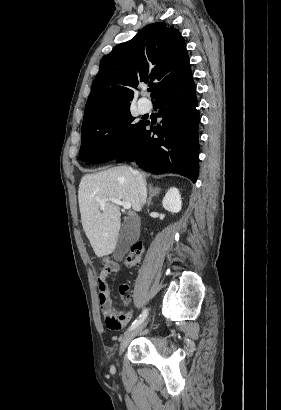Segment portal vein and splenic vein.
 I'll list each match as a JSON object with an SVG mask.
<instances>
[{"mask_svg": "<svg viewBox=\"0 0 281 410\" xmlns=\"http://www.w3.org/2000/svg\"><path fill=\"white\" fill-rule=\"evenodd\" d=\"M107 201H111V202H113L117 205H120L124 209H127V210L131 208V203L130 202H124V201H121L120 199H117V198H105L103 200H100L99 201L100 206L103 207Z\"/></svg>", "mask_w": 281, "mask_h": 410, "instance_id": "1", "label": "portal vein and splenic vein"}]
</instances>
